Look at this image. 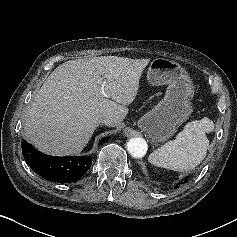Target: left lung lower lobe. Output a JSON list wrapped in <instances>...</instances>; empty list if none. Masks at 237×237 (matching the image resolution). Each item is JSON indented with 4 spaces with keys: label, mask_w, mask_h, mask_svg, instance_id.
Instances as JSON below:
<instances>
[{
    "label": "left lung lower lobe",
    "mask_w": 237,
    "mask_h": 237,
    "mask_svg": "<svg viewBox=\"0 0 237 237\" xmlns=\"http://www.w3.org/2000/svg\"><path fill=\"white\" fill-rule=\"evenodd\" d=\"M187 181H188V179H185V180H184V183L187 182ZM181 183H182V181L179 182V183L175 186V188H178V185H180Z\"/></svg>",
    "instance_id": "obj_1"
}]
</instances>
